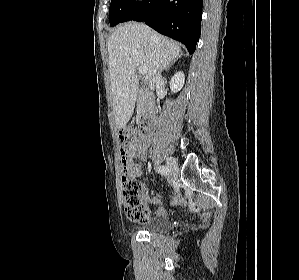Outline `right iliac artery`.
Here are the masks:
<instances>
[{"label": "right iliac artery", "instance_id": "obj_1", "mask_svg": "<svg viewBox=\"0 0 299 280\" xmlns=\"http://www.w3.org/2000/svg\"><path fill=\"white\" fill-rule=\"evenodd\" d=\"M158 171H159L162 175H164V176H168L169 173H170V170H169V168H168L167 166H160V167L158 168Z\"/></svg>", "mask_w": 299, "mask_h": 280}]
</instances>
